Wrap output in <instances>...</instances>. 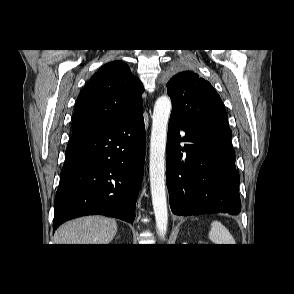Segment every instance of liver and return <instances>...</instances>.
<instances>
[{
	"instance_id": "liver-1",
	"label": "liver",
	"mask_w": 294,
	"mask_h": 294,
	"mask_svg": "<svg viewBox=\"0 0 294 294\" xmlns=\"http://www.w3.org/2000/svg\"><path fill=\"white\" fill-rule=\"evenodd\" d=\"M117 233L114 219L87 216L63 224L55 233V244H109Z\"/></svg>"
}]
</instances>
